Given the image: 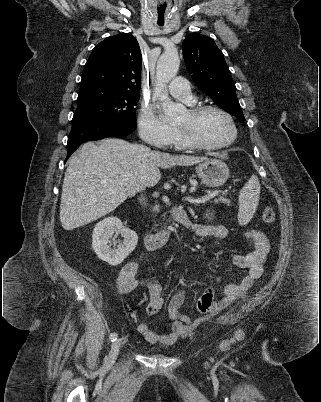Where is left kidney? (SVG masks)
I'll return each mask as SVG.
<instances>
[{
    "label": "left kidney",
    "mask_w": 321,
    "mask_h": 402,
    "mask_svg": "<svg viewBox=\"0 0 321 402\" xmlns=\"http://www.w3.org/2000/svg\"><path fill=\"white\" fill-rule=\"evenodd\" d=\"M212 215V214H211ZM207 216H208V214H207ZM208 219H211L209 216H208Z\"/></svg>",
    "instance_id": "obj_1"
}]
</instances>
